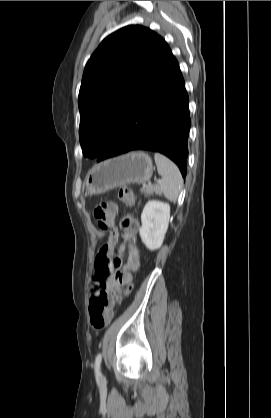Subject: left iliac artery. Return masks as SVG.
Wrapping results in <instances>:
<instances>
[{"label": "left iliac artery", "instance_id": "left-iliac-artery-1", "mask_svg": "<svg viewBox=\"0 0 271 418\" xmlns=\"http://www.w3.org/2000/svg\"><path fill=\"white\" fill-rule=\"evenodd\" d=\"M101 360H102V355H101V353H99L97 355L96 359H95V364H94V369H95L96 376H101V372H100Z\"/></svg>", "mask_w": 271, "mask_h": 418}]
</instances>
